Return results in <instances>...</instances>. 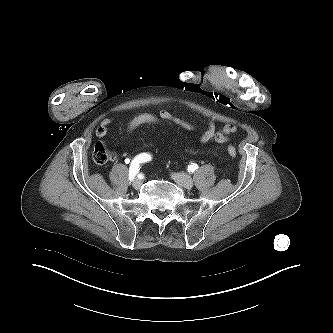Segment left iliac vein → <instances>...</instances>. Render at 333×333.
<instances>
[{
    "instance_id": "4c4485c4",
    "label": "left iliac vein",
    "mask_w": 333,
    "mask_h": 333,
    "mask_svg": "<svg viewBox=\"0 0 333 333\" xmlns=\"http://www.w3.org/2000/svg\"><path fill=\"white\" fill-rule=\"evenodd\" d=\"M172 178L174 179V181L185 188H192L193 187V180L192 178L188 175V174H184V173H174L172 175Z\"/></svg>"
}]
</instances>
